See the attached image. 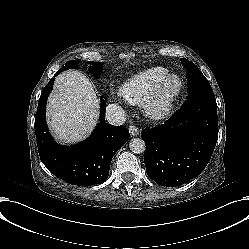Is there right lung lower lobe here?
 <instances>
[{"instance_id":"1","label":"right lung lower lobe","mask_w":249,"mask_h":249,"mask_svg":"<svg viewBox=\"0 0 249 249\" xmlns=\"http://www.w3.org/2000/svg\"><path fill=\"white\" fill-rule=\"evenodd\" d=\"M53 83L54 78L44 87L35 116L40 159L50 172L67 183L79 186L102 184L108 178L112 157L129 140V131L124 125L105 123L106 102L100 97V123L91 136L74 146L58 145L52 139L45 119L46 102Z\"/></svg>"}]
</instances>
